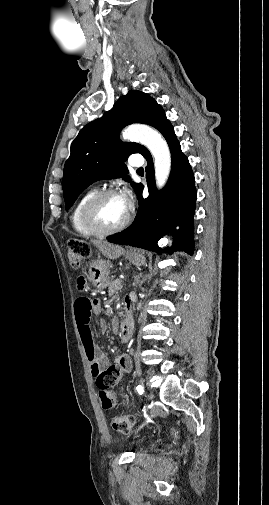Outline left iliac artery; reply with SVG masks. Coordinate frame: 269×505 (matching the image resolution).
Returning a JSON list of instances; mask_svg holds the SVG:
<instances>
[{
	"label": "left iliac artery",
	"mask_w": 269,
	"mask_h": 505,
	"mask_svg": "<svg viewBox=\"0 0 269 505\" xmlns=\"http://www.w3.org/2000/svg\"><path fill=\"white\" fill-rule=\"evenodd\" d=\"M136 390H137V392H138L139 394H143V393H144V388H143L141 385H138V386L136 387Z\"/></svg>",
	"instance_id": "44dca946"
}]
</instances>
